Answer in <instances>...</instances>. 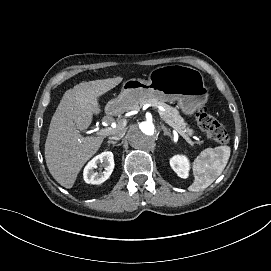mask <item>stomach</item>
<instances>
[{"instance_id": "1", "label": "stomach", "mask_w": 271, "mask_h": 271, "mask_svg": "<svg viewBox=\"0 0 271 271\" xmlns=\"http://www.w3.org/2000/svg\"><path fill=\"white\" fill-rule=\"evenodd\" d=\"M177 102V108L186 117H193L209 101L210 90L205 86L200 71L179 64L153 69L148 80L129 78L120 94L108 103L106 112L117 114L135 109L148 99Z\"/></svg>"}]
</instances>
